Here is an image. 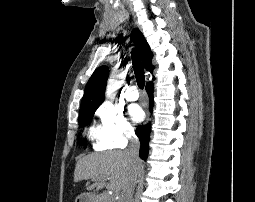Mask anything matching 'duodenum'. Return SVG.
<instances>
[{"label": "duodenum", "instance_id": "410a0bca", "mask_svg": "<svg viewBox=\"0 0 255 202\" xmlns=\"http://www.w3.org/2000/svg\"><path fill=\"white\" fill-rule=\"evenodd\" d=\"M85 202H89V199H87Z\"/></svg>", "mask_w": 255, "mask_h": 202}]
</instances>
